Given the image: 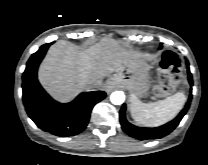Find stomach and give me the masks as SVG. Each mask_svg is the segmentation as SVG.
<instances>
[{
	"label": "stomach",
	"instance_id": "1",
	"mask_svg": "<svg viewBox=\"0 0 208 165\" xmlns=\"http://www.w3.org/2000/svg\"><path fill=\"white\" fill-rule=\"evenodd\" d=\"M150 66L144 57L138 56L131 61L128 68L117 73L111 83L125 87L137 98L147 94L149 84Z\"/></svg>",
	"mask_w": 208,
	"mask_h": 165
}]
</instances>
